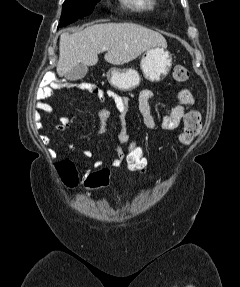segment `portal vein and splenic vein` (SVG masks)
<instances>
[{"mask_svg":"<svg viewBox=\"0 0 240 287\" xmlns=\"http://www.w3.org/2000/svg\"><path fill=\"white\" fill-rule=\"evenodd\" d=\"M106 50H108V48H103V51H106Z\"/></svg>","mask_w":240,"mask_h":287,"instance_id":"18ae733b","label":"portal vein and splenic vein"}]
</instances>
